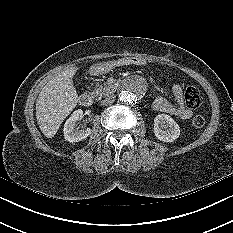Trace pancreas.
Masks as SVG:
<instances>
[{
  "mask_svg": "<svg viewBox=\"0 0 233 233\" xmlns=\"http://www.w3.org/2000/svg\"><path fill=\"white\" fill-rule=\"evenodd\" d=\"M114 90V85H110L106 82L102 84L96 83L95 89L91 92V95L96 99H101L102 97L113 92Z\"/></svg>",
  "mask_w": 233,
  "mask_h": 233,
  "instance_id": "1",
  "label": "pancreas"
}]
</instances>
